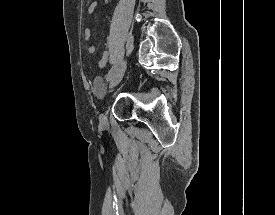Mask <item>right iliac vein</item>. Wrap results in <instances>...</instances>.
Listing matches in <instances>:
<instances>
[{
    "label": "right iliac vein",
    "instance_id": "63e3f726",
    "mask_svg": "<svg viewBox=\"0 0 275 215\" xmlns=\"http://www.w3.org/2000/svg\"><path fill=\"white\" fill-rule=\"evenodd\" d=\"M126 69V62H122L121 65L113 72L112 76L110 77V88H114L117 86L120 81L122 80ZM100 122L103 125L107 124V117L105 114H100Z\"/></svg>",
    "mask_w": 275,
    "mask_h": 215
}]
</instances>
